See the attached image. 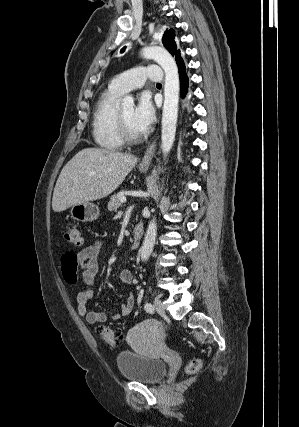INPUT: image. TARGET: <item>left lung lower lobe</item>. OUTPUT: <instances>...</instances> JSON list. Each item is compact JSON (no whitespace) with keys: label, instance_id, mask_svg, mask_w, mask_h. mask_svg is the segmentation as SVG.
Listing matches in <instances>:
<instances>
[{"label":"left lung lower lobe","instance_id":"left-lung-lower-lobe-1","mask_svg":"<svg viewBox=\"0 0 299 427\" xmlns=\"http://www.w3.org/2000/svg\"><path fill=\"white\" fill-rule=\"evenodd\" d=\"M175 60L179 68V77H180V87H181V96L185 97L188 89V77L185 72V65L180 55V50L175 54Z\"/></svg>","mask_w":299,"mask_h":427}]
</instances>
